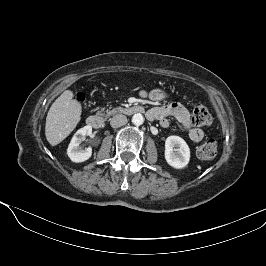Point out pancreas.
<instances>
[{
	"label": "pancreas",
	"mask_w": 266,
	"mask_h": 266,
	"mask_svg": "<svg viewBox=\"0 0 266 266\" xmlns=\"http://www.w3.org/2000/svg\"><path fill=\"white\" fill-rule=\"evenodd\" d=\"M103 111H104V108L101 109V111H99L98 113L101 114V115H104L103 114ZM118 111H121V108H114L112 110H106V117L112 115V114H115L116 112Z\"/></svg>",
	"instance_id": "pancreas-1"
}]
</instances>
